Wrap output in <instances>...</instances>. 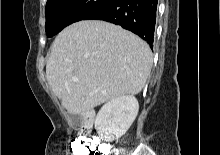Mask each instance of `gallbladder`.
<instances>
[{"label":"gallbladder","mask_w":220,"mask_h":155,"mask_svg":"<svg viewBox=\"0 0 220 155\" xmlns=\"http://www.w3.org/2000/svg\"><path fill=\"white\" fill-rule=\"evenodd\" d=\"M70 118H71V120H72L73 127L76 128L77 123H78V119H79L78 116H76V115H70Z\"/></svg>","instance_id":"gallbladder-1"}]
</instances>
